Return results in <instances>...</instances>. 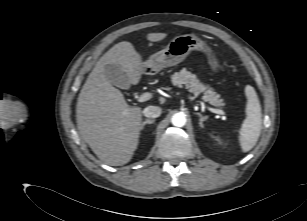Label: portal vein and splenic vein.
Masks as SVG:
<instances>
[{"label": "portal vein and splenic vein", "mask_w": 307, "mask_h": 221, "mask_svg": "<svg viewBox=\"0 0 307 221\" xmlns=\"http://www.w3.org/2000/svg\"><path fill=\"white\" fill-rule=\"evenodd\" d=\"M151 98H152V93L146 92V93H143L142 95H140L138 97L137 101L139 103H142V102H146V101L150 100ZM208 110H210L211 112L216 113V114L225 115V112L221 109L208 107Z\"/></svg>", "instance_id": "portal-vein-and-splenic-vein-1"}]
</instances>
